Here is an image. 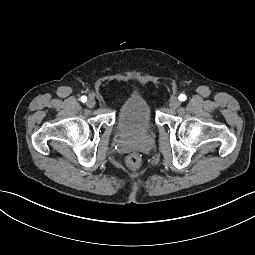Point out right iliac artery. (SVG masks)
<instances>
[{"instance_id": "right-iliac-artery-1", "label": "right iliac artery", "mask_w": 255, "mask_h": 255, "mask_svg": "<svg viewBox=\"0 0 255 255\" xmlns=\"http://www.w3.org/2000/svg\"><path fill=\"white\" fill-rule=\"evenodd\" d=\"M81 101H82V102H86V101H87V97H86V96H82V97H81Z\"/></svg>"}]
</instances>
